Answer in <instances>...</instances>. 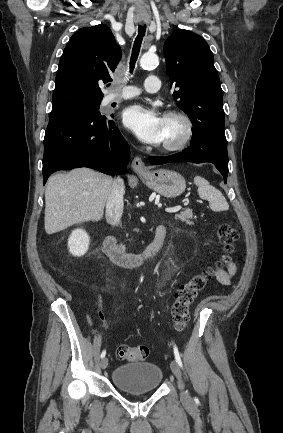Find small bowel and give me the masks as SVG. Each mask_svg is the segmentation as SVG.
Here are the masks:
<instances>
[{
  "mask_svg": "<svg viewBox=\"0 0 283 433\" xmlns=\"http://www.w3.org/2000/svg\"><path fill=\"white\" fill-rule=\"evenodd\" d=\"M235 273H236V265L234 262H230L225 270L224 269L216 270V279L218 280L219 283L223 285H230ZM100 316L102 317V313H100ZM87 323L90 327L91 332L95 334L96 330L93 328V318L91 315L87 316Z\"/></svg>",
  "mask_w": 283,
  "mask_h": 433,
  "instance_id": "c3829d8e",
  "label": "small bowel"
}]
</instances>
